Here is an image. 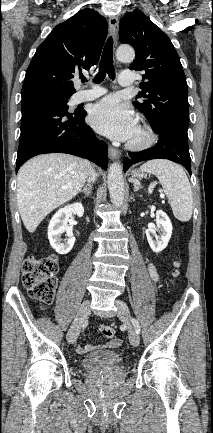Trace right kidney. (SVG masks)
<instances>
[{
  "label": "right kidney",
  "mask_w": 213,
  "mask_h": 433,
  "mask_svg": "<svg viewBox=\"0 0 213 433\" xmlns=\"http://www.w3.org/2000/svg\"><path fill=\"white\" fill-rule=\"evenodd\" d=\"M84 214V207L81 203H74L59 209L48 226V239L50 245L57 253L65 255L71 251L75 243L72 226L68 225L69 218L72 215L82 217ZM65 233L66 238L61 239V234Z\"/></svg>",
  "instance_id": "obj_1"
}]
</instances>
